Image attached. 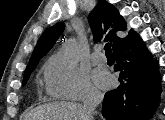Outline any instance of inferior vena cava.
Returning a JSON list of instances; mask_svg holds the SVG:
<instances>
[{
  "label": "inferior vena cava",
  "mask_w": 165,
  "mask_h": 120,
  "mask_svg": "<svg viewBox=\"0 0 165 120\" xmlns=\"http://www.w3.org/2000/svg\"><path fill=\"white\" fill-rule=\"evenodd\" d=\"M103 100V95L98 92L91 91L84 100L83 120H93L96 107Z\"/></svg>",
  "instance_id": "inferior-vena-cava-1"
}]
</instances>
